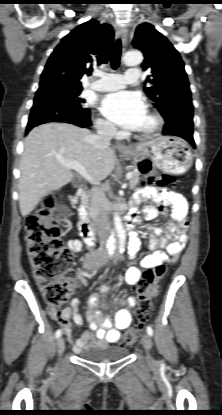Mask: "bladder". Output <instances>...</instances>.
Listing matches in <instances>:
<instances>
[{
    "label": "bladder",
    "mask_w": 222,
    "mask_h": 415,
    "mask_svg": "<svg viewBox=\"0 0 222 415\" xmlns=\"http://www.w3.org/2000/svg\"><path fill=\"white\" fill-rule=\"evenodd\" d=\"M129 349L119 346L92 347L79 352L82 359L91 362H106L125 358Z\"/></svg>",
    "instance_id": "obj_1"
}]
</instances>
